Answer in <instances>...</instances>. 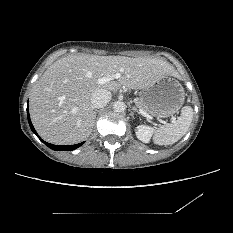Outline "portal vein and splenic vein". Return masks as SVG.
Returning a JSON list of instances; mask_svg holds the SVG:
<instances>
[{"label": "portal vein and splenic vein", "mask_w": 233, "mask_h": 233, "mask_svg": "<svg viewBox=\"0 0 233 233\" xmlns=\"http://www.w3.org/2000/svg\"><path fill=\"white\" fill-rule=\"evenodd\" d=\"M114 78L118 79L119 74H116L113 77H101V78L98 79V84H100V85L105 84V83L111 81ZM139 111H140V114L143 115L144 117L150 118V116L145 111H143L142 109H140Z\"/></svg>", "instance_id": "18ae733b"}]
</instances>
